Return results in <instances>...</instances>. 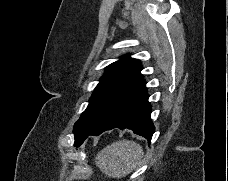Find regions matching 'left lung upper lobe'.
Segmentation results:
<instances>
[{
  "instance_id": "1",
  "label": "left lung upper lobe",
  "mask_w": 228,
  "mask_h": 181,
  "mask_svg": "<svg viewBox=\"0 0 228 181\" xmlns=\"http://www.w3.org/2000/svg\"><path fill=\"white\" fill-rule=\"evenodd\" d=\"M141 69L140 61L127 55L106 67L88 107L74 125V133L117 124L143 81Z\"/></svg>"
}]
</instances>
